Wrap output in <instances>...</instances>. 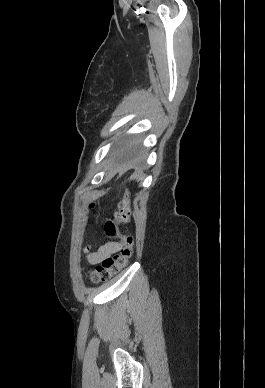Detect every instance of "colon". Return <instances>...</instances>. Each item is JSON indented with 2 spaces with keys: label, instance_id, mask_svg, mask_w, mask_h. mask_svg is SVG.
<instances>
[{
  "label": "colon",
  "instance_id": "5ec220e1",
  "mask_svg": "<svg viewBox=\"0 0 265 388\" xmlns=\"http://www.w3.org/2000/svg\"><path fill=\"white\" fill-rule=\"evenodd\" d=\"M93 207V204L91 205ZM132 214L129 193H126L118 204V209L113 218L105 222L104 230L106 235L117 238L121 241L122 249L109 257L103 259L94 269L89 271L90 279L93 282H104L119 273L128 263L132 255L134 240L130 235L121 231L120 227L129 222Z\"/></svg>",
  "mask_w": 265,
  "mask_h": 388
}]
</instances>
